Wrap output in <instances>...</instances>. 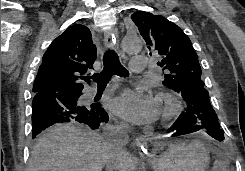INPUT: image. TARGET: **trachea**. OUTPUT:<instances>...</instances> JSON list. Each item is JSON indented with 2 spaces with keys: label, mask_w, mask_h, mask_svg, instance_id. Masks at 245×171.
<instances>
[{
  "label": "trachea",
  "mask_w": 245,
  "mask_h": 171,
  "mask_svg": "<svg viewBox=\"0 0 245 171\" xmlns=\"http://www.w3.org/2000/svg\"><path fill=\"white\" fill-rule=\"evenodd\" d=\"M103 64V71L91 77L99 86H106L113 75L122 77L129 75V72L121 65L118 55L112 50L105 52Z\"/></svg>",
  "instance_id": "obj_1"
}]
</instances>
